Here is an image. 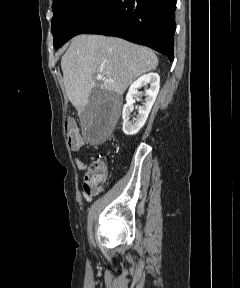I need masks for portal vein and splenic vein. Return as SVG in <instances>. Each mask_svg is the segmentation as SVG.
Segmentation results:
<instances>
[{
  "mask_svg": "<svg viewBox=\"0 0 240 288\" xmlns=\"http://www.w3.org/2000/svg\"><path fill=\"white\" fill-rule=\"evenodd\" d=\"M96 79H97V80H102V79H104V78H103V75H102V74H97ZM106 81L113 82V80H111V79H106Z\"/></svg>",
  "mask_w": 240,
  "mask_h": 288,
  "instance_id": "obj_1",
  "label": "portal vein and splenic vein"
}]
</instances>
